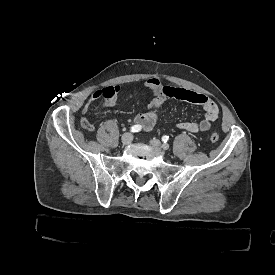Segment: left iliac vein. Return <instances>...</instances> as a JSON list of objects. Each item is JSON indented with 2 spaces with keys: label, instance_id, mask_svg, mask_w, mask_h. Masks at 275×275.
Segmentation results:
<instances>
[{
  "label": "left iliac vein",
  "instance_id": "left-iliac-vein-1",
  "mask_svg": "<svg viewBox=\"0 0 275 275\" xmlns=\"http://www.w3.org/2000/svg\"><path fill=\"white\" fill-rule=\"evenodd\" d=\"M151 145L156 147V148H163L165 150L169 149V145L168 144H162L158 139L153 138L151 139Z\"/></svg>",
  "mask_w": 275,
  "mask_h": 275
}]
</instances>
